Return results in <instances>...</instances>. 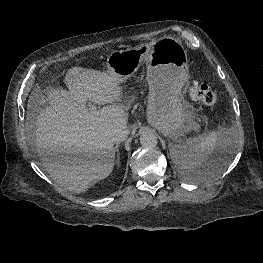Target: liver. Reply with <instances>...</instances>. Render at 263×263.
Here are the masks:
<instances>
[{"mask_svg": "<svg viewBox=\"0 0 263 263\" xmlns=\"http://www.w3.org/2000/svg\"><path fill=\"white\" fill-rule=\"evenodd\" d=\"M69 91L50 89L49 104L35 121L28 104L27 128L34 129L35 146L53 181L72 193L86 192L111 174L115 147L110 133L127 127V112L114 104L121 95L116 78L94 69L70 68L65 76ZM103 108L91 111L86 101Z\"/></svg>", "mask_w": 263, "mask_h": 263, "instance_id": "6515ba94", "label": "liver"}]
</instances>
